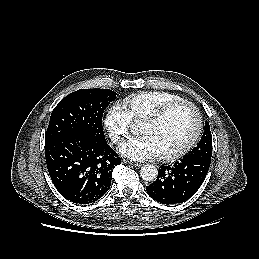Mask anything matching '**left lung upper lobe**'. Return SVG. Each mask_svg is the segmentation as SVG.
<instances>
[{
	"label": "left lung upper lobe",
	"mask_w": 259,
	"mask_h": 259,
	"mask_svg": "<svg viewBox=\"0 0 259 259\" xmlns=\"http://www.w3.org/2000/svg\"><path fill=\"white\" fill-rule=\"evenodd\" d=\"M204 133L196 147L188 154L189 156L211 161L212 156V135L209 123L205 122Z\"/></svg>",
	"instance_id": "1"
}]
</instances>
